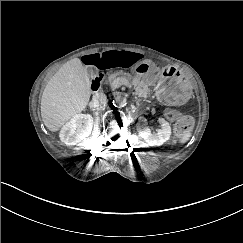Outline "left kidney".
Masks as SVG:
<instances>
[{"instance_id": "1", "label": "left kidney", "mask_w": 243, "mask_h": 243, "mask_svg": "<svg viewBox=\"0 0 243 243\" xmlns=\"http://www.w3.org/2000/svg\"><path fill=\"white\" fill-rule=\"evenodd\" d=\"M158 123L160 124V128L155 134L151 133V129L146 125L145 119H142V124H137L138 136L149 147L161 146L170 139L171 126L164 118H159Z\"/></svg>"}]
</instances>
